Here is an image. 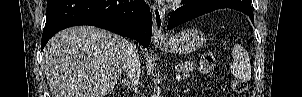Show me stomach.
<instances>
[{
    "label": "stomach",
    "mask_w": 302,
    "mask_h": 97,
    "mask_svg": "<svg viewBox=\"0 0 302 97\" xmlns=\"http://www.w3.org/2000/svg\"><path fill=\"white\" fill-rule=\"evenodd\" d=\"M205 35L194 28L180 31L158 47L168 53L190 54L199 49L205 42Z\"/></svg>",
    "instance_id": "stomach-1"
}]
</instances>
